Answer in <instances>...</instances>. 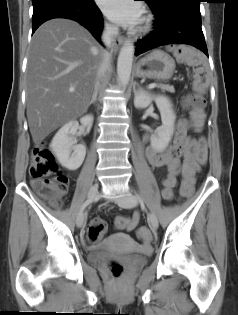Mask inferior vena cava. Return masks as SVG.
I'll return each instance as SVG.
<instances>
[{
  "label": "inferior vena cava",
  "instance_id": "obj_1",
  "mask_svg": "<svg viewBox=\"0 0 238 315\" xmlns=\"http://www.w3.org/2000/svg\"><path fill=\"white\" fill-rule=\"evenodd\" d=\"M118 34V28L114 25L106 24L101 36L102 42L106 46V50L103 51L102 61L97 71V82L95 84V90L99 87V80L104 73L110 67L111 62V49L114 41V37Z\"/></svg>",
  "mask_w": 238,
  "mask_h": 315
}]
</instances>
